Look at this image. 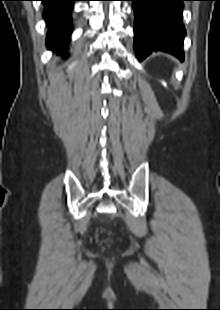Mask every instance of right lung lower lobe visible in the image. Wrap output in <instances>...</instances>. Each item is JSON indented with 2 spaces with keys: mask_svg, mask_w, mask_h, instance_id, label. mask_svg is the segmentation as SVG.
<instances>
[{
  "mask_svg": "<svg viewBox=\"0 0 220 310\" xmlns=\"http://www.w3.org/2000/svg\"><path fill=\"white\" fill-rule=\"evenodd\" d=\"M44 3L43 17L49 27L46 45L48 49L64 51L73 30L72 10L79 0H40Z\"/></svg>",
  "mask_w": 220,
  "mask_h": 310,
  "instance_id": "98d812e1",
  "label": "right lung lower lobe"
}]
</instances>
